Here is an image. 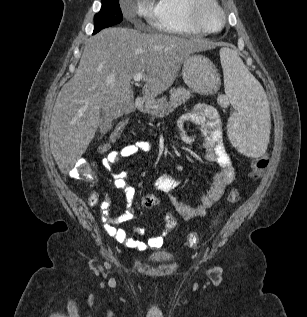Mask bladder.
<instances>
[{"label": "bladder", "mask_w": 307, "mask_h": 317, "mask_svg": "<svg viewBox=\"0 0 307 317\" xmlns=\"http://www.w3.org/2000/svg\"><path fill=\"white\" fill-rule=\"evenodd\" d=\"M172 258L169 255H154L150 258L151 261L153 262H168Z\"/></svg>", "instance_id": "obj_1"}]
</instances>
